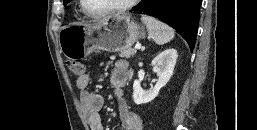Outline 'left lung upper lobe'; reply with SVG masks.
<instances>
[{"label":"left lung upper lobe","mask_w":257,"mask_h":130,"mask_svg":"<svg viewBox=\"0 0 257 130\" xmlns=\"http://www.w3.org/2000/svg\"><path fill=\"white\" fill-rule=\"evenodd\" d=\"M70 0H64V5H66Z\"/></svg>","instance_id":"left-lung-upper-lobe-1"}]
</instances>
